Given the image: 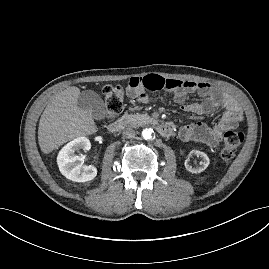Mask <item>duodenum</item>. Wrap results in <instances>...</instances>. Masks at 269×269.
Here are the masks:
<instances>
[{"instance_id":"1","label":"duodenum","mask_w":269,"mask_h":269,"mask_svg":"<svg viewBox=\"0 0 269 269\" xmlns=\"http://www.w3.org/2000/svg\"><path fill=\"white\" fill-rule=\"evenodd\" d=\"M124 126L122 121H114L108 125V131L112 134L119 132ZM157 131L164 137L171 136L174 132L173 126L167 123L157 124Z\"/></svg>"}]
</instances>
